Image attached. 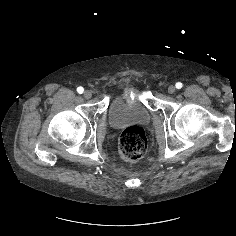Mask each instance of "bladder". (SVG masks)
<instances>
[{"instance_id": "obj_1", "label": "bladder", "mask_w": 236, "mask_h": 236, "mask_svg": "<svg viewBox=\"0 0 236 236\" xmlns=\"http://www.w3.org/2000/svg\"><path fill=\"white\" fill-rule=\"evenodd\" d=\"M107 113L109 124L114 128L130 121H147L150 117L149 110L138 95L116 96L111 101Z\"/></svg>"}]
</instances>
